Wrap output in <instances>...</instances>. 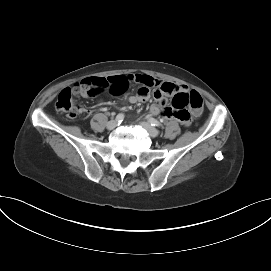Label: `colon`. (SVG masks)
<instances>
[{
	"mask_svg": "<svg viewBox=\"0 0 271 271\" xmlns=\"http://www.w3.org/2000/svg\"><path fill=\"white\" fill-rule=\"evenodd\" d=\"M90 86L91 85H89V88ZM83 87L84 85L81 83L76 84L72 88H64L57 97L55 103L56 110L66 114L69 117H75L83 113L84 107L77 103L73 98V95L80 94ZM172 105L179 110H184L186 106H189L195 114H199L203 108V98L196 91H190L186 94H176L173 97ZM182 118L188 119L189 116L183 113Z\"/></svg>",
	"mask_w": 271,
	"mask_h": 271,
	"instance_id": "colon-1",
	"label": "colon"
}]
</instances>
